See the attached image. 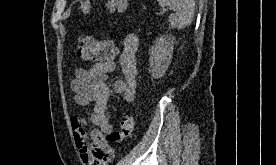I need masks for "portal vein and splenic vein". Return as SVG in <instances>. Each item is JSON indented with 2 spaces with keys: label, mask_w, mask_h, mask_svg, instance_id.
Masks as SVG:
<instances>
[{
  "label": "portal vein and splenic vein",
  "mask_w": 276,
  "mask_h": 165,
  "mask_svg": "<svg viewBox=\"0 0 276 165\" xmlns=\"http://www.w3.org/2000/svg\"><path fill=\"white\" fill-rule=\"evenodd\" d=\"M167 11V9L163 8L161 13H165Z\"/></svg>",
  "instance_id": "obj_1"
}]
</instances>
